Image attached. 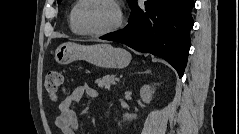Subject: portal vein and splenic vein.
I'll return each instance as SVG.
<instances>
[{
  "label": "portal vein and splenic vein",
  "mask_w": 239,
  "mask_h": 134,
  "mask_svg": "<svg viewBox=\"0 0 239 134\" xmlns=\"http://www.w3.org/2000/svg\"><path fill=\"white\" fill-rule=\"evenodd\" d=\"M115 80H116V81H119L120 79H119V78H116Z\"/></svg>",
  "instance_id": "obj_1"
}]
</instances>
